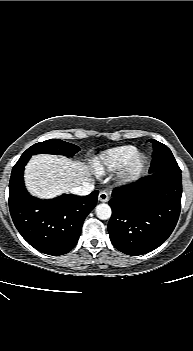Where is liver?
Masks as SVG:
<instances>
[{"mask_svg": "<svg viewBox=\"0 0 193 351\" xmlns=\"http://www.w3.org/2000/svg\"><path fill=\"white\" fill-rule=\"evenodd\" d=\"M24 177L29 192L41 199H52L84 182H92L88 165L63 156L46 154L32 156Z\"/></svg>", "mask_w": 193, "mask_h": 351, "instance_id": "obj_1", "label": "liver"}]
</instances>
